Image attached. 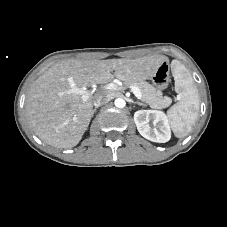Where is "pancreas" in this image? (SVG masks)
Masks as SVG:
<instances>
[{
  "instance_id": "cf45deb5",
  "label": "pancreas",
  "mask_w": 227,
  "mask_h": 227,
  "mask_svg": "<svg viewBox=\"0 0 227 227\" xmlns=\"http://www.w3.org/2000/svg\"><path fill=\"white\" fill-rule=\"evenodd\" d=\"M127 87L135 86L142 93V102L149 105L151 108L163 109L170 105L171 99L163 97L161 91L157 90L154 86L145 81H135L125 83Z\"/></svg>"
}]
</instances>
